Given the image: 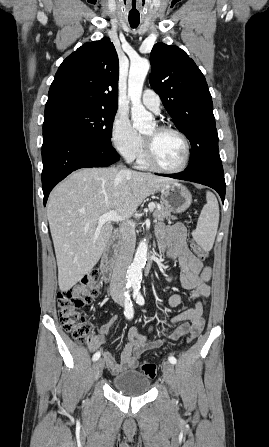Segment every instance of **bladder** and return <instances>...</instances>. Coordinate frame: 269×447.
Wrapping results in <instances>:
<instances>
[{"label":"bladder","instance_id":"31cf9c89","mask_svg":"<svg viewBox=\"0 0 269 447\" xmlns=\"http://www.w3.org/2000/svg\"><path fill=\"white\" fill-rule=\"evenodd\" d=\"M113 390L124 393L126 397H139L147 394L152 388V379L148 373L137 370H125L112 377Z\"/></svg>","mask_w":269,"mask_h":447}]
</instances>
